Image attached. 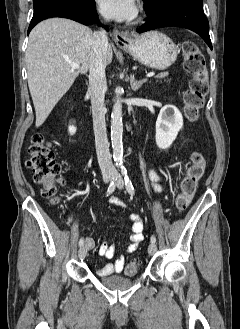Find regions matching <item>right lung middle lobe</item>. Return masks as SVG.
I'll use <instances>...</instances> for the list:
<instances>
[{
  "label": "right lung middle lobe",
  "mask_w": 240,
  "mask_h": 329,
  "mask_svg": "<svg viewBox=\"0 0 240 329\" xmlns=\"http://www.w3.org/2000/svg\"><path fill=\"white\" fill-rule=\"evenodd\" d=\"M36 1V0H34ZM60 1H65L73 4H88L92 2L93 0H60Z\"/></svg>",
  "instance_id": "right-lung-middle-lobe-1"
}]
</instances>
